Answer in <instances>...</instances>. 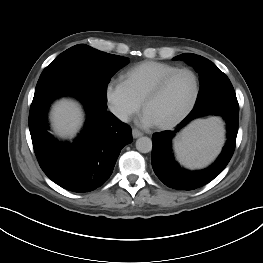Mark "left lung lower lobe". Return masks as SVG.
Segmentation results:
<instances>
[{
  "label": "left lung lower lobe",
  "mask_w": 263,
  "mask_h": 263,
  "mask_svg": "<svg viewBox=\"0 0 263 263\" xmlns=\"http://www.w3.org/2000/svg\"><path fill=\"white\" fill-rule=\"evenodd\" d=\"M218 115L227 123V141L217 160L208 168L200 171H188L174 160L171 140L175 133L191 120ZM239 105L235 93L212 96L197 103L191 113L174 131H164L152 137V167L157 177L168 187L179 190H194L212 181L229 163L236 145L238 133Z\"/></svg>",
  "instance_id": "0a47b994"
}]
</instances>
